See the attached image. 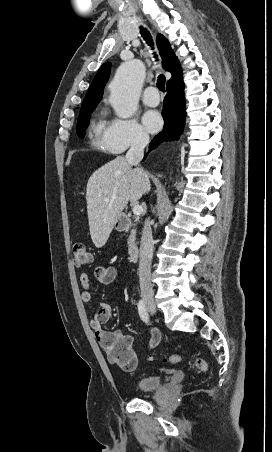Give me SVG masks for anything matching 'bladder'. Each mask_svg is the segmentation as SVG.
Wrapping results in <instances>:
<instances>
[{
  "mask_svg": "<svg viewBox=\"0 0 272 452\" xmlns=\"http://www.w3.org/2000/svg\"><path fill=\"white\" fill-rule=\"evenodd\" d=\"M162 380L158 375H145L137 379L134 389L139 393H147L160 388Z\"/></svg>",
  "mask_w": 272,
  "mask_h": 452,
  "instance_id": "obj_1",
  "label": "bladder"
}]
</instances>
